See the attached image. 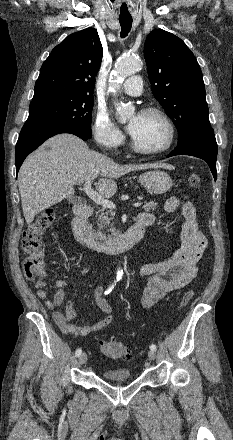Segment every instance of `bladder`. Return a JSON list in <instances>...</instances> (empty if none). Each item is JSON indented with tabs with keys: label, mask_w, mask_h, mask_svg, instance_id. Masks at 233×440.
<instances>
[{
	"label": "bladder",
	"mask_w": 233,
	"mask_h": 440,
	"mask_svg": "<svg viewBox=\"0 0 233 440\" xmlns=\"http://www.w3.org/2000/svg\"><path fill=\"white\" fill-rule=\"evenodd\" d=\"M104 377L115 383L125 382L130 380V372L128 369H108L104 372Z\"/></svg>",
	"instance_id": "1"
}]
</instances>
